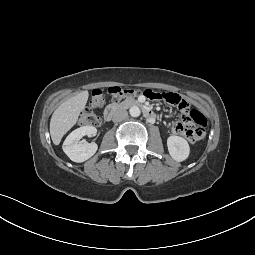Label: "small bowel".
I'll return each instance as SVG.
<instances>
[{"mask_svg":"<svg viewBox=\"0 0 255 255\" xmlns=\"http://www.w3.org/2000/svg\"><path fill=\"white\" fill-rule=\"evenodd\" d=\"M171 94L177 96V97L180 99V104H178L177 106H178V108L181 110V112H183L184 109L189 108V103H188L184 98L180 97L179 95H177V94H175V93H171ZM181 124H182V123H180V122H175V123H173V124H172V130H173L174 132H177L178 129H179V127L181 126Z\"/></svg>","mask_w":255,"mask_h":255,"instance_id":"small-bowel-1","label":"small bowel"}]
</instances>
